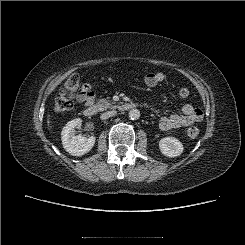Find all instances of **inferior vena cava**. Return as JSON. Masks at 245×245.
I'll return each instance as SVG.
<instances>
[{"label":"inferior vena cava","instance_id":"602c4592","mask_svg":"<svg viewBox=\"0 0 245 245\" xmlns=\"http://www.w3.org/2000/svg\"><path fill=\"white\" fill-rule=\"evenodd\" d=\"M116 113H117V112L114 111V110L108 111V112H105V113L101 114L100 118H101L102 120H105V119H108L109 117L114 116Z\"/></svg>","mask_w":245,"mask_h":245}]
</instances>
